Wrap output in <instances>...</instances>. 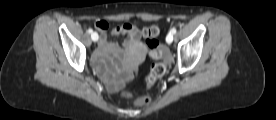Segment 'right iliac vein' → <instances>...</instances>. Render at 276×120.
Listing matches in <instances>:
<instances>
[{
	"instance_id": "right-iliac-vein-1",
	"label": "right iliac vein",
	"mask_w": 276,
	"mask_h": 120,
	"mask_svg": "<svg viewBox=\"0 0 276 120\" xmlns=\"http://www.w3.org/2000/svg\"><path fill=\"white\" fill-rule=\"evenodd\" d=\"M91 38H92V40H93L94 42H96V41L98 40V34H97L96 32H93V33L91 34Z\"/></svg>"
}]
</instances>
